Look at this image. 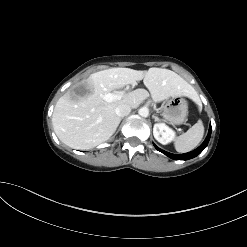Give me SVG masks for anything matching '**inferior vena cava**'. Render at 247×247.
Wrapping results in <instances>:
<instances>
[{
    "mask_svg": "<svg viewBox=\"0 0 247 247\" xmlns=\"http://www.w3.org/2000/svg\"><path fill=\"white\" fill-rule=\"evenodd\" d=\"M130 112H131V107L128 104H120L115 109V113L118 117L127 116L129 115Z\"/></svg>",
    "mask_w": 247,
    "mask_h": 247,
    "instance_id": "inferior-vena-cava-1",
    "label": "inferior vena cava"
}]
</instances>
